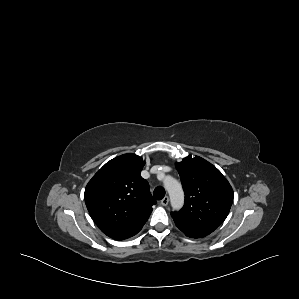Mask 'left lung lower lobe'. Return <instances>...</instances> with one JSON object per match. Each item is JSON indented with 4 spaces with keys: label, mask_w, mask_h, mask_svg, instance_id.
Listing matches in <instances>:
<instances>
[{
    "label": "left lung lower lobe",
    "mask_w": 299,
    "mask_h": 299,
    "mask_svg": "<svg viewBox=\"0 0 299 299\" xmlns=\"http://www.w3.org/2000/svg\"><path fill=\"white\" fill-rule=\"evenodd\" d=\"M176 224V223H175ZM176 226L181 230V227L179 225L176 224ZM189 237V236H188ZM203 236H199V237H191V238H201Z\"/></svg>",
    "instance_id": "1"
}]
</instances>
